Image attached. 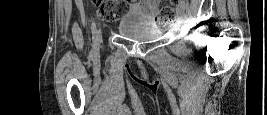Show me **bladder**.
Masks as SVG:
<instances>
[{"label": "bladder", "mask_w": 267, "mask_h": 115, "mask_svg": "<svg viewBox=\"0 0 267 115\" xmlns=\"http://www.w3.org/2000/svg\"><path fill=\"white\" fill-rule=\"evenodd\" d=\"M118 32L126 38L141 41L156 39L162 35V30L152 24L123 23L118 26Z\"/></svg>", "instance_id": "obj_1"}]
</instances>
